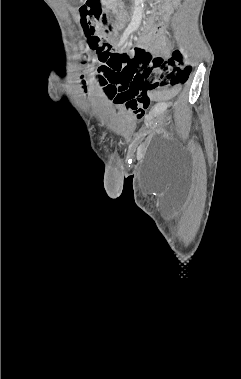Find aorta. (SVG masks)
Returning a JSON list of instances; mask_svg holds the SVG:
<instances>
[{
  "instance_id": "aorta-1",
  "label": "aorta",
  "mask_w": 241,
  "mask_h": 379,
  "mask_svg": "<svg viewBox=\"0 0 241 379\" xmlns=\"http://www.w3.org/2000/svg\"><path fill=\"white\" fill-rule=\"evenodd\" d=\"M144 12V0H134V11L130 26L137 29L140 26Z\"/></svg>"
}]
</instances>
